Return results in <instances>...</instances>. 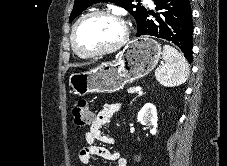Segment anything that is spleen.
<instances>
[{
    "mask_svg": "<svg viewBox=\"0 0 227 166\" xmlns=\"http://www.w3.org/2000/svg\"><path fill=\"white\" fill-rule=\"evenodd\" d=\"M162 57L164 63L155 71L157 81L166 87H174L186 82L189 65L182 53L170 45H164Z\"/></svg>",
    "mask_w": 227,
    "mask_h": 166,
    "instance_id": "spleen-1",
    "label": "spleen"
}]
</instances>
